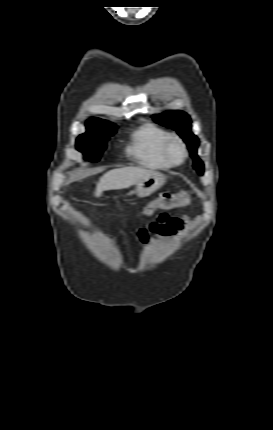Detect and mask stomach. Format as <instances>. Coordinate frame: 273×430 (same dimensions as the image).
<instances>
[{"label": "stomach", "mask_w": 273, "mask_h": 430, "mask_svg": "<svg viewBox=\"0 0 273 430\" xmlns=\"http://www.w3.org/2000/svg\"><path fill=\"white\" fill-rule=\"evenodd\" d=\"M165 182V176L160 172L153 171L144 176L136 183L135 193L138 197H147L158 190Z\"/></svg>", "instance_id": "0dacf381"}]
</instances>
